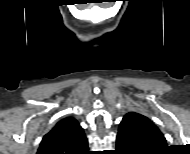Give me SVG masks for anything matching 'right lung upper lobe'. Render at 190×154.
<instances>
[{"instance_id":"right-lung-upper-lobe-1","label":"right lung upper lobe","mask_w":190,"mask_h":154,"mask_svg":"<svg viewBox=\"0 0 190 154\" xmlns=\"http://www.w3.org/2000/svg\"><path fill=\"white\" fill-rule=\"evenodd\" d=\"M88 141L83 128L73 117L59 121L47 133L40 144L37 154H86Z\"/></svg>"}]
</instances>
